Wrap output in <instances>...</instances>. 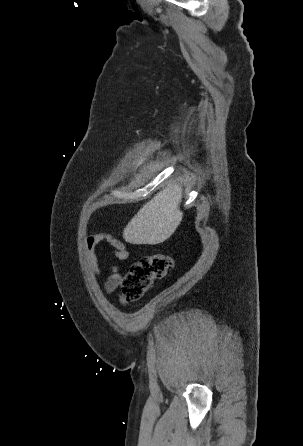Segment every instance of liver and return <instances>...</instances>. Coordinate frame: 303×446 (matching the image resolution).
<instances>
[{"mask_svg": "<svg viewBox=\"0 0 303 446\" xmlns=\"http://www.w3.org/2000/svg\"><path fill=\"white\" fill-rule=\"evenodd\" d=\"M181 200V186L168 184L127 224L123 231L124 240L135 245H156L167 240L182 221Z\"/></svg>", "mask_w": 303, "mask_h": 446, "instance_id": "obj_1", "label": "liver"}]
</instances>
